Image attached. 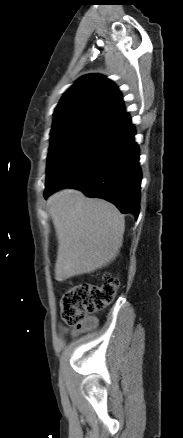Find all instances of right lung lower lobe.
Masks as SVG:
<instances>
[{
    "instance_id": "1",
    "label": "right lung lower lobe",
    "mask_w": 183,
    "mask_h": 438,
    "mask_svg": "<svg viewBox=\"0 0 183 438\" xmlns=\"http://www.w3.org/2000/svg\"><path fill=\"white\" fill-rule=\"evenodd\" d=\"M135 129L127 113L101 126L72 160L46 185L44 197L66 187L115 204L138 216L142 173Z\"/></svg>"
}]
</instances>
